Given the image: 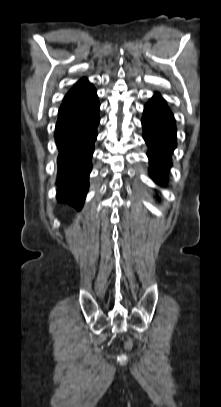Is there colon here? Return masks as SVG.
<instances>
[{"label": "colon", "instance_id": "5ec220e1", "mask_svg": "<svg viewBox=\"0 0 221 407\" xmlns=\"http://www.w3.org/2000/svg\"><path fill=\"white\" fill-rule=\"evenodd\" d=\"M125 348L126 350H130L132 348V342L130 340L125 342Z\"/></svg>", "mask_w": 221, "mask_h": 407}]
</instances>
